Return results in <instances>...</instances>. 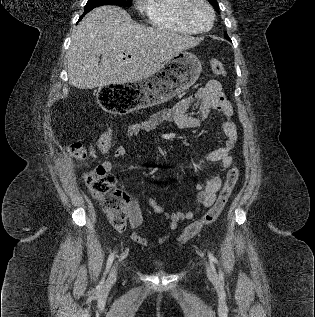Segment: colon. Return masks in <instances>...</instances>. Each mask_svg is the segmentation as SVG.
I'll return each mask as SVG.
<instances>
[{
	"label": "colon",
	"mask_w": 315,
	"mask_h": 317,
	"mask_svg": "<svg viewBox=\"0 0 315 317\" xmlns=\"http://www.w3.org/2000/svg\"><path fill=\"white\" fill-rule=\"evenodd\" d=\"M209 65L213 73L225 75L223 63L217 59H211ZM117 135L116 129H110L99 140L97 150L105 153ZM67 152L71 158L78 161H85L93 157L94 152L88 150L81 142H73L68 145ZM239 178V169L232 167L229 169L226 180L214 203V205L198 221L188 225L179 237L180 243H186L196 236L204 227L217 220L225 208ZM83 180L95 198L101 201L104 213L111 225L117 230H123L128 218V201L119 189L115 186V180L102 165L86 171Z\"/></svg>",
	"instance_id": "obj_1"
}]
</instances>
